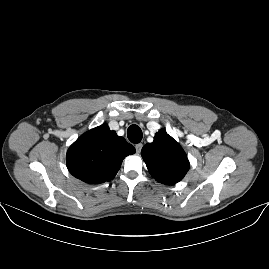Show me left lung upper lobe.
<instances>
[{"label": "left lung upper lobe", "instance_id": "5c2ea615", "mask_svg": "<svg viewBox=\"0 0 269 269\" xmlns=\"http://www.w3.org/2000/svg\"><path fill=\"white\" fill-rule=\"evenodd\" d=\"M141 155L152 177L166 185L176 184L189 170L186 153L164 130L142 148Z\"/></svg>", "mask_w": 269, "mask_h": 269}]
</instances>
